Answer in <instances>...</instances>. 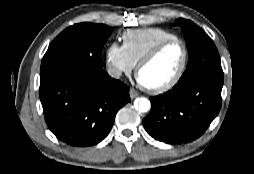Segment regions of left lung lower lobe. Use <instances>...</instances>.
<instances>
[{"label":"left lung lower lobe","mask_w":254,"mask_h":174,"mask_svg":"<svg viewBox=\"0 0 254 174\" xmlns=\"http://www.w3.org/2000/svg\"><path fill=\"white\" fill-rule=\"evenodd\" d=\"M223 81L222 74H204L151 97V111L143 119L145 130L168 144L197 139L220 111Z\"/></svg>","instance_id":"1"}]
</instances>
